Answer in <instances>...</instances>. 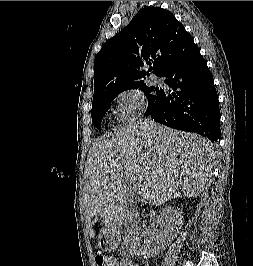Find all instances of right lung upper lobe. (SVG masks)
I'll return each instance as SVG.
<instances>
[{
  "label": "right lung upper lobe",
  "mask_w": 253,
  "mask_h": 266,
  "mask_svg": "<svg viewBox=\"0 0 253 266\" xmlns=\"http://www.w3.org/2000/svg\"><path fill=\"white\" fill-rule=\"evenodd\" d=\"M196 49L192 36L171 12L160 7L141 9L96 55L93 102L144 84L136 80L152 69L155 75L163 76ZM145 64L153 68L138 71Z\"/></svg>",
  "instance_id": "cb5924a9"
}]
</instances>
